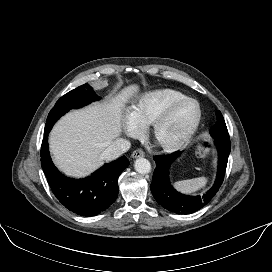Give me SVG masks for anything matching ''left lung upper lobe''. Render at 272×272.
<instances>
[{
	"mask_svg": "<svg viewBox=\"0 0 272 272\" xmlns=\"http://www.w3.org/2000/svg\"><path fill=\"white\" fill-rule=\"evenodd\" d=\"M216 116H217V122L211 128L210 134L215 139V141L230 144L228 130H227V127L221 112L217 111Z\"/></svg>",
	"mask_w": 272,
	"mask_h": 272,
	"instance_id": "left-lung-upper-lobe-1",
	"label": "left lung upper lobe"
}]
</instances>
